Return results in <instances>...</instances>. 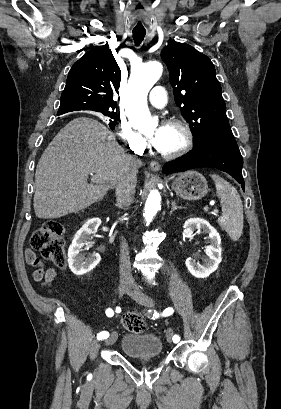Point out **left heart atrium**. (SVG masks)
<instances>
[{
	"label": "left heart atrium",
	"instance_id": "obj_1",
	"mask_svg": "<svg viewBox=\"0 0 281 409\" xmlns=\"http://www.w3.org/2000/svg\"><path fill=\"white\" fill-rule=\"evenodd\" d=\"M163 131H164V126H159L155 130V132L148 138L150 144H152L155 148L159 147L161 144Z\"/></svg>",
	"mask_w": 281,
	"mask_h": 409
}]
</instances>
